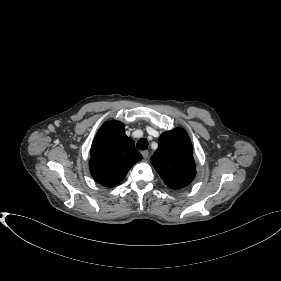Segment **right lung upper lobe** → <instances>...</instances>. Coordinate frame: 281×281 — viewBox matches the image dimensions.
Wrapping results in <instances>:
<instances>
[{"mask_svg": "<svg viewBox=\"0 0 281 281\" xmlns=\"http://www.w3.org/2000/svg\"><path fill=\"white\" fill-rule=\"evenodd\" d=\"M132 139L126 136L124 124L111 121L98 130L89 161L93 178L108 187L120 183L130 168L142 159Z\"/></svg>", "mask_w": 281, "mask_h": 281, "instance_id": "cb5924a9", "label": "right lung upper lobe"}]
</instances>
